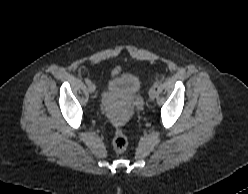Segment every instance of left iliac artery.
<instances>
[{
  "instance_id": "left-iliac-artery-1",
  "label": "left iliac artery",
  "mask_w": 248,
  "mask_h": 194,
  "mask_svg": "<svg viewBox=\"0 0 248 194\" xmlns=\"http://www.w3.org/2000/svg\"><path fill=\"white\" fill-rule=\"evenodd\" d=\"M153 86L154 87H157L158 86V82H155Z\"/></svg>"
}]
</instances>
